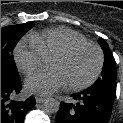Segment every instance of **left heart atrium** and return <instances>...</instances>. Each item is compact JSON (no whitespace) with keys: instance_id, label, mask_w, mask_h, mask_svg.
<instances>
[{"instance_id":"obj_1","label":"left heart atrium","mask_w":123,"mask_h":123,"mask_svg":"<svg viewBox=\"0 0 123 123\" xmlns=\"http://www.w3.org/2000/svg\"><path fill=\"white\" fill-rule=\"evenodd\" d=\"M25 86L31 93L48 95L67 86V82L59 70L50 69L30 75L26 79Z\"/></svg>"}]
</instances>
